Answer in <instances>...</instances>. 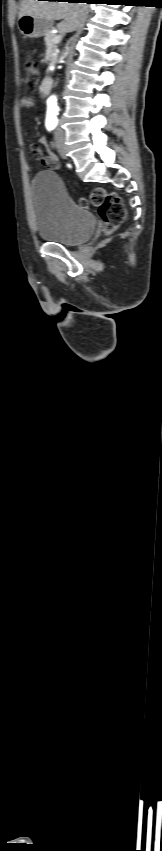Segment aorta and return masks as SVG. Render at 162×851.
<instances>
[{
	"mask_svg": "<svg viewBox=\"0 0 162 851\" xmlns=\"http://www.w3.org/2000/svg\"><path fill=\"white\" fill-rule=\"evenodd\" d=\"M47 103H48V111H47V118L46 119H47V121H54V120H56V116H57V112H58L57 97L55 95H52L48 99Z\"/></svg>",
	"mask_w": 162,
	"mask_h": 851,
	"instance_id": "aorta-1",
	"label": "aorta"
}]
</instances>
